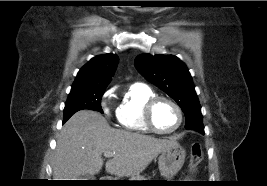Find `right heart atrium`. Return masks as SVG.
I'll return each instance as SVG.
<instances>
[{
    "label": "right heart atrium",
    "mask_w": 267,
    "mask_h": 186,
    "mask_svg": "<svg viewBox=\"0 0 267 186\" xmlns=\"http://www.w3.org/2000/svg\"><path fill=\"white\" fill-rule=\"evenodd\" d=\"M111 94H112V91L110 90V91L105 92L103 95L102 106H103V109H104L106 114H109V108L107 106V100Z\"/></svg>",
    "instance_id": "1"
}]
</instances>
